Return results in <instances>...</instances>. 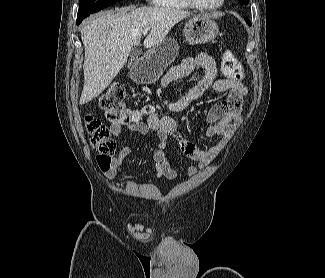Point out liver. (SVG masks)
<instances>
[{"label": "liver", "mask_w": 325, "mask_h": 278, "mask_svg": "<svg viewBox=\"0 0 325 278\" xmlns=\"http://www.w3.org/2000/svg\"><path fill=\"white\" fill-rule=\"evenodd\" d=\"M124 8L92 17L81 30L85 48L84 86L80 104L100 95L125 65L133 46L140 44L142 31L150 28L144 40L152 48L190 13L169 7Z\"/></svg>", "instance_id": "1"}]
</instances>
